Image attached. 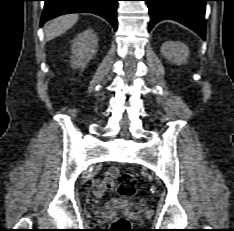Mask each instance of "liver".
Masks as SVG:
<instances>
[{
  "label": "liver",
  "mask_w": 234,
  "mask_h": 231,
  "mask_svg": "<svg viewBox=\"0 0 234 231\" xmlns=\"http://www.w3.org/2000/svg\"><path fill=\"white\" fill-rule=\"evenodd\" d=\"M77 14H68L57 17L50 21L45 28V38L46 40H52L65 33L67 30L73 27L77 22Z\"/></svg>",
  "instance_id": "1"
}]
</instances>
